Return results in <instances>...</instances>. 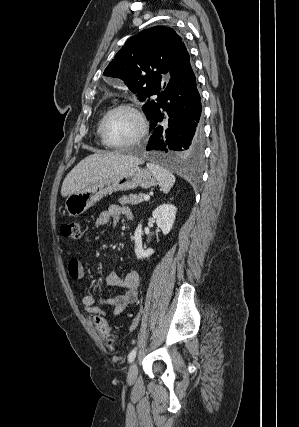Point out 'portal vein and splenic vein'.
Returning a JSON list of instances; mask_svg holds the SVG:
<instances>
[{"label":"portal vein and splenic vein","mask_w":299,"mask_h":427,"mask_svg":"<svg viewBox=\"0 0 299 427\" xmlns=\"http://www.w3.org/2000/svg\"><path fill=\"white\" fill-rule=\"evenodd\" d=\"M149 199H150V196H149V195H145V196H144V200H145V201H148Z\"/></svg>","instance_id":"1"}]
</instances>
